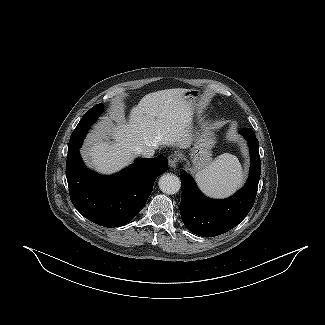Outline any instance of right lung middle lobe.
<instances>
[{
	"mask_svg": "<svg viewBox=\"0 0 325 325\" xmlns=\"http://www.w3.org/2000/svg\"><path fill=\"white\" fill-rule=\"evenodd\" d=\"M103 104H98L86 112L73 132L87 130L95 122L102 112Z\"/></svg>",
	"mask_w": 325,
	"mask_h": 325,
	"instance_id": "right-lung-middle-lobe-1",
	"label": "right lung middle lobe"
}]
</instances>
